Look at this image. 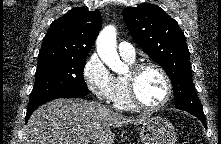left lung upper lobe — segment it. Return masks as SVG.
<instances>
[{"label": "left lung upper lobe", "mask_w": 221, "mask_h": 144, "mask_svg": "<svg viewBox=\"0 0 221 144\" xmlns=\"http://www.w3.org/2000/svg\"><path fill=\"white\" fill-rule=\"evenodd\" d=\"M122 15L133 39L169 75L176 108L203 112L193 86L185 35L177 21L154 4L127 7Z\"/></svg>", "instance_id": "left-lung-upper-lobe-1"}]
</instances>
